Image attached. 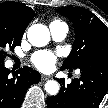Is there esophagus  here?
<instances>
[{
  "label": "esophagus",
  "instance_id": "esophagus-1",
  "mask_svg": "<svg viewBox=\"0 0 108 108\" xmlns=\"http://www.w3.org/2000/svg\"><path fill=\"white\" fill-rule=\"evenodd\" d=\"M49 79H50V76H46V75L41 76L42 81H46V80H49Z\"/></svg>",
  "mask_w": 108,
  "mask_h": 108
}]
</instances>
